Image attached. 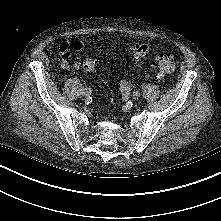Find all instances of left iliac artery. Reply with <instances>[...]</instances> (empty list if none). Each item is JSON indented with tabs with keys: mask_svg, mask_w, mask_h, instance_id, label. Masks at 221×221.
<instances>
[{
	"mask_svg": "<svg viewBox=\"0 0 221 221\" xmlns=\"http://www.w3.org/2000/svg\"><path fill=\"white\" fill-rule=\"evenodd\" d=\"M121 96L123 101H127L130 95V88L126 81H122L120 85Z\"/></svg>",
	"mask_w": 221,
	"mask_h": 221,
	"instance_id": "left-iliac-artery-1",
	"label": "left iliac artery"
}]
</instances>
